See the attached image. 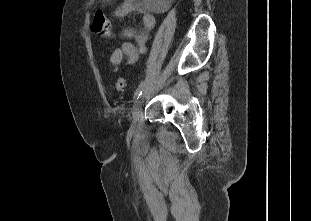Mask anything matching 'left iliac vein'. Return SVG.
Returning <instances> with one entry per match:
<instances>
[{"mask_svg":"<svg viewBox=\"0 0 311 221\" xmlns=\"http://www.w3.org/2000/svg\"><path fill=\"white\" fill-rule=\"evenodd\" d=\"M141 104H142V97H139L134 105H133V111H132V115H133V120H132V128H135L140 120V116H141Z\"/></svg>","mask_w":311,"mask_h":221,"instance_id":"left-iliac-vein-1","label":"left iliac vein"}]
</instances>
